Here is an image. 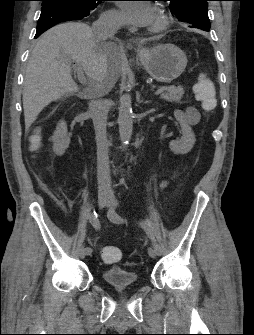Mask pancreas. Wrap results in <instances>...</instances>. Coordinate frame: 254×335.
<instances>
[{
	"instance_id": "pancreas-1",
	"label": "pancreas",
	"mask_w": 254,
	"mask_h": 335,
	"mask_svg": "<svg viewBox=\"0 0 254 335\" xmlns=\"http://www.w3.org/2000/svg\"><path fill=\"white\" fill-rule=\"evenodd\" d=\"M163 92L161 94V99L168 101V102H181V99L185 93L183 86H164Z\"/></svg>"
}]
</instances>
